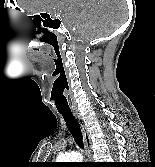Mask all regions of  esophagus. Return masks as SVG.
<instances>
[{"instance_id": "34e87169", "label": "esophagus", "mask_w": 155, "mask_h": 167, "mask_svg": "<svg viewBox=\"0 0 155 167\" xmlns=\"http://www.w3.org/2000/svg\"><path fill=\"white\" fill-rule=\"evenodd\" d=\"M73 114H74L75 118L77 119V121L81 127L82 133H83L87 159H88V161H91L93 157H92V143H91L89 131L84 123V120H83L81 114L78 111H73Z\"/></svg>"}]
</instances>
